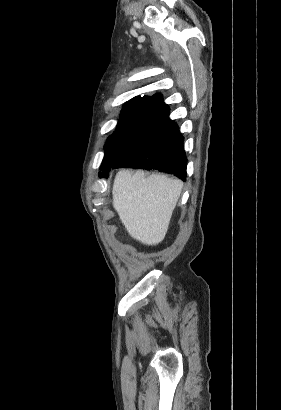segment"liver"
Instances as JSON below:
<instances>
[{"label": "liver", "instance_id": "1", "mask_svg": "<svg viewBox=\"0 0 281 410\" xmlns=\"http://www.w3.org/2000/svg\"><path fill=\"white\" fill-rule=\"evenodd\" d=\"M182 187V181L165 175L121 170L113 184V207L132 238L157 245L166 235Z\"/></svg>", "mask_w": 281, "mask_h": 410}]
</instances>
